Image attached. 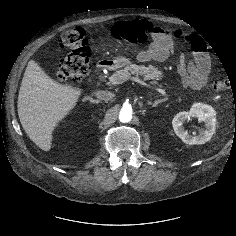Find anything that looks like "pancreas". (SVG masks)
I'll list each match as a JSON object with an SVG mask.
<instances>
[{
    "instance_id": "obj_1",
    "label": "pancreas",
    "mask_w": 236,
    "mask_h": 236,
    "mask_svg": "<svg viewBox=\"0 0 236 236\" xmlns=\"http://www.w3.org/2000/svg\"><path fill=\"white\" fill-rule=\"evenodd\" d=\"M116 77H122L126 81L131 75H140L144 77V80H152L151 83L156 85L163 77V73L156 67L149 65L148 67L131 64L124 69L117 71Z\"/></svg>"
}]
</instances>
